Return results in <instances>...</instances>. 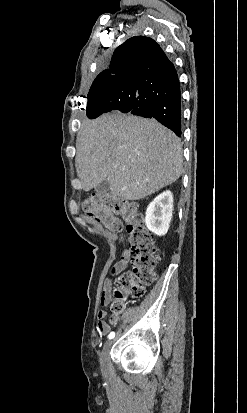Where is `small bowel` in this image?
<instances>
[{
    "label": "small bowel",
    "instance_id": "c3829d8e",
    "mask_svg": "<svg viewBox=\"0 0 247 413\" xmlns=\"http://www.w3.org/2000/svg\"><path fill=\"white\" fill-rule=\"evenodd\" d=\"M131 261V255L129 252L125 251L122 253L120 259L114 264L112 268V275H118L124 272ZM111 292H112V281L111 279H107L104 283L103 290L101 293L100 302L102 305L108 304L111 299ZM106 312L99 311L98 312V321H97V330L100 335H107L111 331L112 326H116L119 321L120 317L117 314H113L110 316L109 322L105 321Z\"/></svg>",
    "mask_w": 247,
    "mask_h": 413
}]
</instances>
